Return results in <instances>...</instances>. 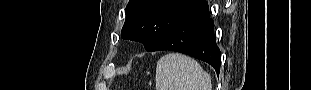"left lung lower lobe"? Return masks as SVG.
<instances>
[{
	"mask_svg": "<svg viewBox=\"0 0 311 90\" xmlns=\"http://www.w3.org/2000/svg\"><path fill=\"white\" fill-rule=\"evenodd\" d=\"M214 24L205 0L186 13L167 31L151 51L172 50L212 65L219 74L221 53L216 45Z\"/></svg>",
	"mask_w": 311,
	"mask_h": 90,
	"instance_id": "1",
	"label": "left lung lower lobe"
}]
</instances>
